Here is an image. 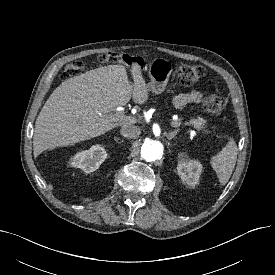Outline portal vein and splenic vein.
<instances>
[{"label":"portal vein and splenic vein","instance_id":"1","mask_svg":"<svg viewBox=\"0 0 275 275\" xmlns=\"http://www.w3.org/2000/svg\"><path fill=\"white\" fill-rule=\"evenodd\" d=\"M126 117H127V116L124 115V113H123L122 111L117 110V111L115 112V114H114L113 119H114L115 121H120V120L125 119ZM173 125L177 127V126H180V123L174 122ZM193 133H194V131H191V134H193Z\"/></svg>","mask_w":275,"mask_h":275}]
</instances>
